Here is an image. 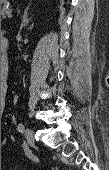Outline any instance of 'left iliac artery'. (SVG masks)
I'll return each instance as SVG.
<instances>
[{"label": "left iliac artery", "mask_w": 109, "mask_h": 170, "mask_svg": "<svg viewBox=\"0 0 109 170\" xmlns=\"http://www.w3.org/2000/svg\"><path fill=\"white\" fill-rule=\"evenodd\" d=\"M24 129H25L24 124H22V123L18 124L17 130H18L20 133H23Z\"/></svg>", "instance_id": "left-iliac-artery-1"}]
</instances>
